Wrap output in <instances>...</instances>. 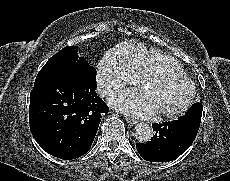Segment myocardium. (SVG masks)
<instances>
[{"label": "myocardium", "mask_w": 230, "mask_h": 181, "mask_svg": "<svg viewBox=\"0 0 230 181\" xmlns=\"http://www.w3.org/2000/svg\"><path fill=\"white\" fill-rule=\"evenodd\" d=\"M156 78L180 79L185 81L189 86V93L185 101L178 108H175L173 110H168V111L160 110L157 111V114L168 118H172L187 111L191 106V104L193 103V100L196 95V88L193 81L185 73H174L169 70L155 71V72L148 73L141 79V83L139 84V89L143 90L150 81Z\"/></svg>", "instance_id": "f54148a6"}]
</instances>
